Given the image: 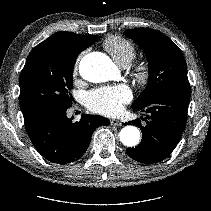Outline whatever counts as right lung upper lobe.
Instances as JSON below:
<instances>
[{"label":"right lung upper lobe","instance_id":"right-lung-upper-lobe-1","mask_svg":"<svg viewBox=\"0 0 211 211\" xmlns=\"http://www.w3.org/2000/svg\"><path fill=\"white\" fill-rule=\"evenodd\" d=\"M98 36H85L61 31L51 35L42 43L49 46L52 51L61 55L78 54L95 43Z\"/></svg>","mask_w":211,"mask_h":211}]
</instances>
